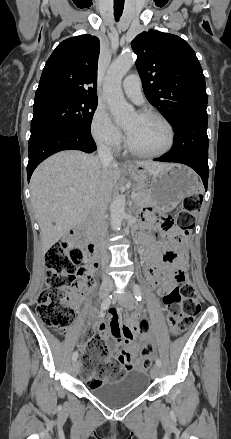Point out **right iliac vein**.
<instances>
[{"instance_id": "1", "label": "right iliac vein", "mask_w": 231, "mask_h": 439, "mask_svg": "<svg viewBox=\"0 0 231 439\" xmlns=\"http://www.w3.org/2000/svg\"><path fill=\"white\" fill-rule=\"evenodd\" d=\"M111 288H112V285H109L108 286V291L111 290ZM108 291L103 292L101 294V298H104L107 295ZM80 367H81V363L79 361H74L73 366H72V372H73L74 376H76L79 373Z\"/></svg>"}]
</instances>
